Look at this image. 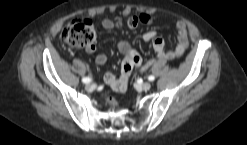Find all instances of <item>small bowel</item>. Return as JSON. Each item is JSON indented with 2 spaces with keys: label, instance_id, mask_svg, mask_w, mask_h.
Instances as JSON below:
<instances>
[{
  "label": "small bowel",
  "instance_id": "c3829d8e",
  "mask_svg": "<svg viewBox=\"0 0 247 145\" xmlns=\"http://www.w3.org/2000/svg\"><path fill=\"white\" fill-rule=\"evenodd\" d=\"M101 25L106 30H112L115 26V23L112 19L105 18L101 21ZM177 31V44L174 49H165V41L163 38L159 37L154 30L147 31L143 35V40L146 42H152L153 49L156 53L155 60L143 61L141 57L135 52L131 45L126 41H120L118 43V50L124 56L125 62L128 58L135 55L137 61L132 64L129 70V77H124L121 72V76L117 78L113 73L107 72L104 76L105 83L115 92H123L127 89L129 78L131 76L132 70L134 67L139 68L142 71L147 70L154 62H163L165 60H171L174 58L181 57L189 45L188 32L185 22L177 21L175 24ZM96 50L95 44L85 48L87 53H93ZM107 62V55L104 53L98 54L95 58V63L98 66H102ZM109 105L112 108H118L116 101H109Z\"/></svg>",
  "mask_w": 247,
  "mask_h": 145
}]
</instances>
